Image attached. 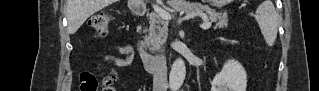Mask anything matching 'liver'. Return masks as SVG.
Segmentation results:
<instances>
[{"instance_id":"1","label":"liver","mask_w":319,"mask_h":91,"mask_svg":"<svg viewBox=\"0 0 319 91\" xmlns=\"http://www.w3.org/2000/svg\"><path fill=\"white\" fill-rule=\"evenodd\" d=\"M115 1L116 0H67L68 28L70 32L75 33L87 18Z\"/></svg>"}]
</instances>
